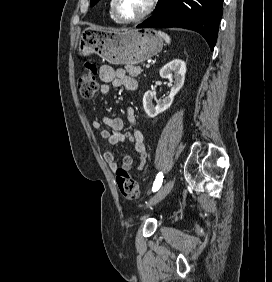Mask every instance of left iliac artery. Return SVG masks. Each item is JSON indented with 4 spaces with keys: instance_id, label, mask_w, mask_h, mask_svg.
<instances>
[{
    "instance_id": "44dca946",
    "label": "left iliac artery",
    "mask_w": 272,
    "mask_h": 282,
    "mask_svg": "<svg viewBox=\"0 0 272 282\" xmlns=\"http://www.w3.org/2000/svg\"><path fill=\"white\" fill-rule=\"evenodd\" d=\"M162 182H163V173L160 172L156 176V179H155L154 184H153L152 191L153 192L158 191L160 189L161 185H162Z\"/></svg>"
}]
</instances>
